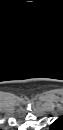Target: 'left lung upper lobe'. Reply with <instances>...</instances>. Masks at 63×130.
I'll use <instances>...</instances> for the list:
<instances>
[{
    "instance_id": "left-lung-upper-lobe-1",
    "label": "left lung upper lobe",
    "mask_w": 63,
    "mask_h": 130,
    "mask_svg": "<svg viewBox=\"0 0 63 130\" xmlns=\"http://www.w3.org/2000/svg\"><path fill=\"white\" fill-rule=\"evenodd\" d=\"M62 128V119L59 118L51 125V130H60Z\"/></svg>"
}]
</instances>
